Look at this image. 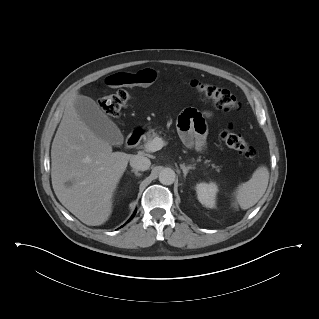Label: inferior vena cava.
Segmentation results:
<instances>
[{"label":"inferior vena cava","instance_id":"602c4592","mask_svg":"<svg viewBox=\"0 0 319 319\" xmlns=\"http://www.w3.org/2000/svg\"><path fill=\"white\" fill-rule=\"evenodd\" d=\"M130 165L137 171H145L149 169L151 162L147 157L141 155H133L130 159Z\"/></svg>","mask_w":319,"mask_h":319}]
</instances>
